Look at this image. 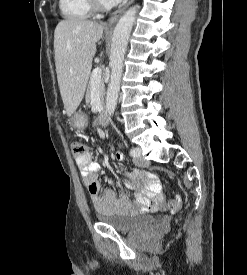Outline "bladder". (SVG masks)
Segmentation results:
<instances>
[{
	"label": "bladder",
	"mask_w": 247,
	"mask_h": 275,
	"mask_svg": "<svg viewBox=\"0 0 247 275\" xmlns=\"http://www.w3.org/2000/svg\"><path fill=\"white\" fill-rule=\"evenodd\" d=\"M95 216L99 223L111 226L121 232H131L140 227L150 226L157 221L156 216L143 215L139 212L119 215L97 211Z\"/></svg>",
	"instance_id": "1"
}]
</instances>
